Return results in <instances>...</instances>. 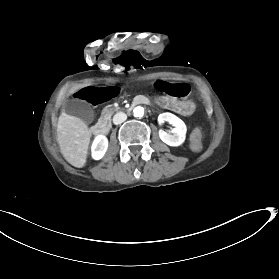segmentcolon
Instances as JSON below:
<instances>
[{
	"label": "colon",
	"instance_id": "obj_1",
	"mask_svg": "<svg viewBox=\"0 0 279 279\" xmlns=\"http://www.w3.org/2000/svg\"><path fill=\"white\" fill-rule=\"evenodd\" d=\"M192 136H193L195 141H199L200 138H201V133L199 131H194Z\"/></svg>",
	"mask_w": 279,
	"mask_h": 279
}]
</instances>
